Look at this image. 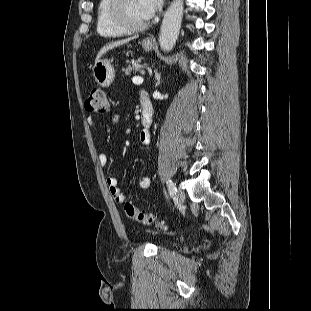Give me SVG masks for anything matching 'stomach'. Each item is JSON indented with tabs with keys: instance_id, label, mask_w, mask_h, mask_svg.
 I'll return each mask as SVG.
<instances>
[{
	"instance_id": "stomach-1",
	"label": "stomach",
	"mask_w": 311,
	"mask_h": 311,
	"mask_svg": "<svg viewBox=\"0 0 311 311\" xmlns=\"http://www.w3.org/2000/svg\"><path fill=\"white\" fill-rule=\"evenodd\" d=\"M145 51L153 48V43L149 39L142 41ZM93 76L95 81L102 87H109L115 78V70L108 59H99L93 66Z\"/></svg>"
}]
</instances>
